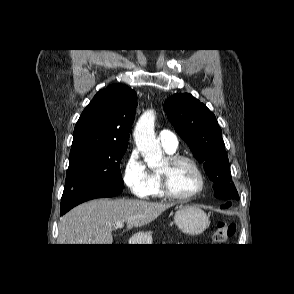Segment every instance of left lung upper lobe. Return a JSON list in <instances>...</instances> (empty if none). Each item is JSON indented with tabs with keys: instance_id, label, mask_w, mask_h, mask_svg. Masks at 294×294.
<instances>
[{
	"instance_id": "obj_1",
	"label": "left lung upper lobe",
	"mask_w": 294,
	"mask_h": 294,
	"mask_svg": "<svg viewBox=\"0 0 294 294\" xmlns=\"http://www.w3.org/2000/svg\"><path fill=\"white\" fill-rule=\"evenodd\" d=\"M164 110L194 157L203 163L206 174L214 183L215 197L239 200L215 115L188 93L170 96L164 103Z\"/></svg>"
}]
</instances>
